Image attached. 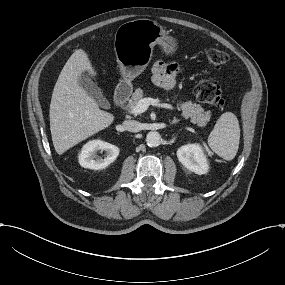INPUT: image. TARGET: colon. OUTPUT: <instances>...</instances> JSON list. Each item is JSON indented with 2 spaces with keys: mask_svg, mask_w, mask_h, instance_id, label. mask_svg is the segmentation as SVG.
Segmentation results:
<instances>
[{
  "mask_svg": "<svg viewBox=\"0 0 285 285\" xmlns=\"http://www.w3.org/2000/svg\"><path fill=\"white\" fill-rule=\"evenodd\" d=\"M206 60L211 67L219 68L227 62L228 56L222 50L210 48L206 51ZM194 95L198 101L215 107L225 104L221 87L212 78H201L195 85Z\"/></svg>",
  "mask_w": 285,
  "mask_h": 285,
  "instance_id": "5ec220e1",
  "label": "colon"
}]
</instances>
